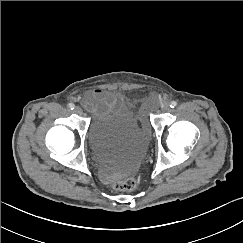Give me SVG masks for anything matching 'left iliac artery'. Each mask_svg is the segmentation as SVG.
I'll list each match as a JSON object with an SVG mask.
<instances>
[{
    "label": "left iliac artery",
    "mask_w": 243,
    "mask_h": 243,
    "mask_svg": "<svg viewBox=\"0 0 243 243\" xmlns=\"http://www.w3.org/2000/svg\"><path fill=\"white\" fill-rule=\"evenodd\" d=\"M176 106H177V102L176 101L170 102V107L171 108H175Z\"/></svg>",
    "instance_id": "left-iliac-artery-1"
}]
</instances>
